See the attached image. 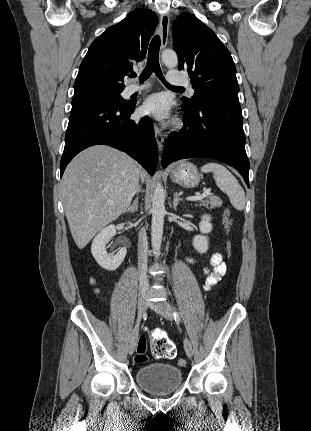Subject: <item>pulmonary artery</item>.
I'll return each mask as SVG.
<instances>
[{"instance_id": "1", "label": "pulmonary artery", "mask_w": 311, "mask_h": 431, "mask_svg": "<svg viewBox=\"0 0 311 431\" xmlns=\"http://www.w3.org/2000/svg\"><path fill=\"white\" fill-rule=\"evenodd\" d=\"M174 73V71H171L167 74L166 78L167 80L175 85H185L188 87L189 91L193 94L194 93V89L192 87V85L189 82L186 81H182L179 79H176L172 76V74ZM152 87V83L149 81H145V82H141V83H133L127 86L125 93L127 95H132L138 92H142L148 88Z\"/></svg>"}]
</instances>
